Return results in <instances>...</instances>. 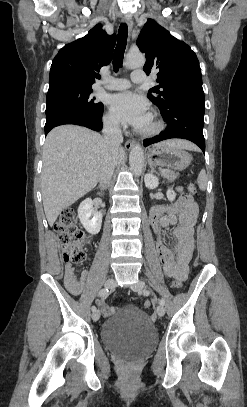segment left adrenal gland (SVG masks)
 I'll list each match as a JSON object with an SVG mask.
<instances>
[{
  "label": "left adrenal gland",
  "instance_id": "1",
  "mask_svg": "<svg viewBox=\"0 0 247 407\" xmlns=\"http://www.w3.org/2000/svg\"><path fill=\"white\" fill-rule=\"evenodd\" d=\"M151 172H154V169H153V168H151Z\"/></svg>",
  "mask_w": 247,
  "mask_h": 407
}]
</instances>
